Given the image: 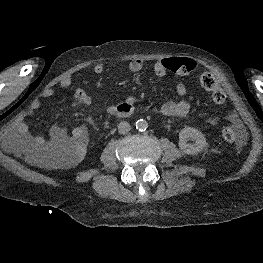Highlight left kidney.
<instances>
[{"instance_id": "obj_1", "label": "left kidney", "mask_w": 263, "mask_h": 263, "mask_svg": "<svg viewBox=\"0 0 263 263\" xmlns=\"http://www.w3.org/2000/svg\"><path fill=\"white\" fill-rule=\"evenodd\" d=\"M196 140L195 144H187V138ZM178 147L183 155L194 156L203 151H206L209 147L205 135L198 128H186L180 133V141Z\"/></svg>"}]
</instances>
